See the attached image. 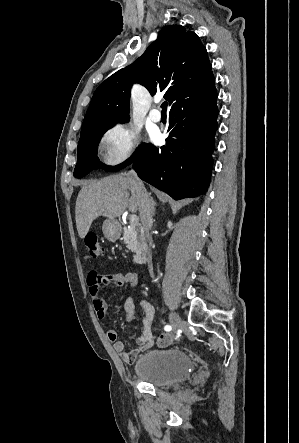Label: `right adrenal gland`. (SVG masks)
<instances>
[{"mask_svg": "<svg viewBox=\"0 0 299 443\" xmlns=\"http://www.w3.org/2000/svg\"><path fill=\"white\" fill-rule=\"evenodd\" d=\"M151 206H152V212L153 215H155V206H156V202L154 201V199L151 197Z\"/></svg>", "mask_w": 299, "mask_h": 443, "instance_id": "2a0ac1e0", "label": "right adrenal gland"}]
</instances>
